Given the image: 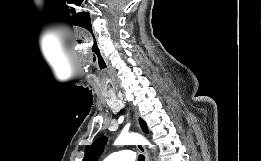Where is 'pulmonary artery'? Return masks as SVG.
<instances>
[{
  "instance_id": "e3ab8cb5",
  "label": "pulmonary artery",
  "mask_w": 261,
  "mask_h": 161,
  "mask_svg": "<svg viewBox=\"0 0 261 161\" xmlns=\"http://www.w3.org/2000/svg\"><path fill=\"white\" fill-rule=\"evenodd\" d=\"M103 161H135V154L130 150H117L106 156Z\"/></svg>"
}]
</instances>
